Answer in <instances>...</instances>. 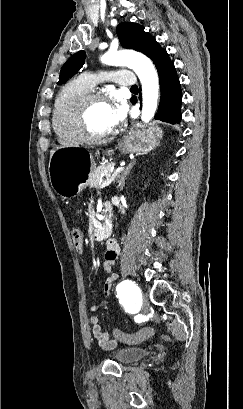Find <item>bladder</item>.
Returning a JSON list of instances; mask_svg holds the SVG:
<instances>
[{"instance_id": "1", "label": "bladder", "mask_w": 243, "mask_h": 409, "mask_svg": "<svg viewBox=\"0 0 243 409\" xmlns=\"http://www.w3.org/2000/svg\"><path fill=\"white\" fill-rule=\"evenodd\" d=\"M147 355V350L140 347L120 348L112 353L113 359L121 364L127 365L136 362Z\"/></svg>"}]
</instances>
